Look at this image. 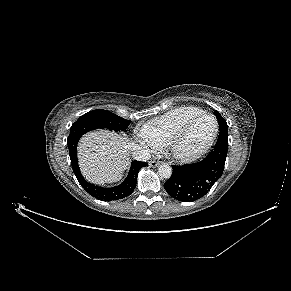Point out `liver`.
Instances as JSON below:
<instances>
[{"instance_id": "liver-1", "label": "liver", "mask_w": 291, "mask_h": 291, "mask_svg": "<svg viewBox=\"0 0 291 291\" xmlns=\"http://www.w3.org/2000/svg\"><path fill=\"white\" fill-rule=\"evenodd\" d=\"M128 148L124 134L108 130L88 133L78 146L83 175L88 181L99 185L119 180L129 162Z\"/></svg>"}]
</instances>
